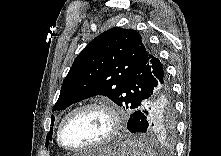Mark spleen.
<instances>
[{
	"instance_id": "obj_1",
	"label": "spleen",
	"mask_w": 221,
	"mask_h": 156,
	"mask_svg": "<svg viewBox=\"0 0 221 156\" xmlns=\"http://www.w3.org/2000/svg\"><path fill=\"white\" fill-rule=\"evenodd\" d=\"M132 156H154L155 154L151 149L143 142L142 138L127 140Z\"/></svg>"
}]
</instances>
